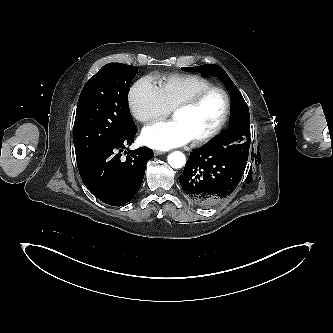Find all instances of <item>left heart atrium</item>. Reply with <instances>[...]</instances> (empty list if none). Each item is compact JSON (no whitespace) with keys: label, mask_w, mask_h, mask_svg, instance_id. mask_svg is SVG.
Listing matches in <instances>:
<instances>
[{"label":"left heart atrium","mask_w":333,"mask_h":333,"mask_svg":"<svg viewBox=\"0 0 333 333\" xmlns=\"http://www.w3.org/2000/svg\"><path fill=\"white\" fill-rule=\"evenodd\" d=\"M141 137L145 145L158 150H169L191 141L185 128L176 120L149 125L143 129Z\"/></svg>","instance_id":"1"}]
</instances>
